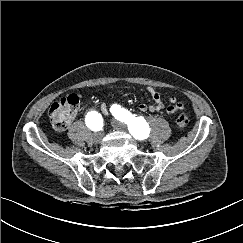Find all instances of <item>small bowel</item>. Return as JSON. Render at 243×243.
<instances>
[{
    "label": "small bowel",
    "instance_id": "obj_1",
    "mask_svg": "<svg viewBox=\"0 0 243 243\" xmlns=\"http://www.w3.org/2000/svg\"><path fill=\"white\" fill-rule=\"evenodd\" d=\"M151 98L154 100V104L148 105L146 103H140L138 109L141 112H159L165 111L168 114H173L184 109V105L177 100L175 96L169 98L170 105L165 106L161 95L155 91L152 87L147 88ZM101 111L107 113L108 108L104 103H101Z\"/></svg>",
    "mask_w": 243,
    "mask_h": 243
}]
</instances>
